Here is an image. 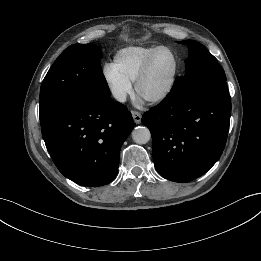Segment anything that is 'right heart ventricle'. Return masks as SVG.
<instances>
[{
    "label": "right heart ventricle",
    "mask_w": 261,
    "mask_h": 261,
    "mask_svg": "<svg viewBox=\"0 0 261 261\" xmlns=\"http://www.w3.org/2000/svg\"><path fill=\"white\" fill-rule=\"evenodd\" d=\"M158 47H128L121 49L115 54L113 65L120 74L130 82H134L147 58Z\"/></svg>",
    "instance_id": "1"
}]
</instances>
